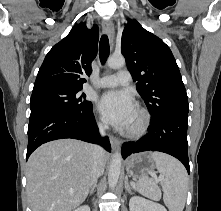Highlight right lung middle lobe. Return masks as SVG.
Wrapping results in <instances>:
<instances>
[{
    "label": "right lung middle lobe",
    "mask_w": 221,
    "mask_h": 211,
    "mask_svg": "<svg viewBox=\"0 0 221 211\" xmlns=\"http://www.w3.org/2000/svg\"><path fill=\"white\" fill-rule=\"evenodd\" d=\"M81 89L48 88L33 91L30 106L31 115L49 110L84 111L92 103L85 100V94H79Z\"/></svg>",
    "instance_id": "dd1d6c3e"
}]
</instances>
